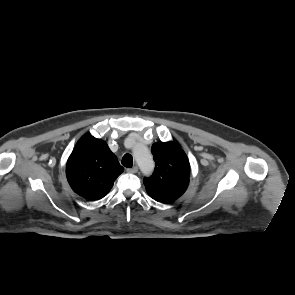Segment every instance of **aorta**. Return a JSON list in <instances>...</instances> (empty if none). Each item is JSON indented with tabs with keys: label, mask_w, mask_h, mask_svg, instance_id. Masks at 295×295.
Segmentation results:
<instances>
[{
	"label": "aorta",
	"mask_w": 295,
	"mask_h": 295,
	"mask_svg": "<svg viewBox=\"0 0 295 295\" xmlns=\"http://www.w3.org/2000/svg\"><path fill=\"white\" fill-rule=\"evenodd\" d=\"M134 159L143 174H150L154 169V162L150 151L143 144H136L133 148Z\"/></svg>",
	"instance_id": "aorta-1"
}]
</instances>
